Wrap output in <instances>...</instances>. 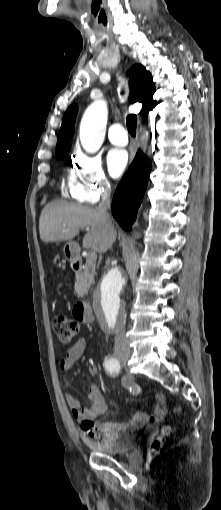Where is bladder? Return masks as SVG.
Returning a JSON list of instances; mask_svg holds the SVG:
<instances>
[{
    "mask_svg": "<svg viewBox=\"0 0 221 510\" xmlns=\"http://www.w3.org/2000/svg\"><path fill=\"white\" fill-rule=\"evenodd\" d=\"M136 437L134 435H127L118 438L117 440L104 443L91 442L89 446L94 450L106 455L116 456L128 453L135 448Z\"/></svg>",
    "mask_w": 221,
    "mask_h": 510,
    "instance_id": "obj_1",
    "label": "bladder"
}]
</instances>
